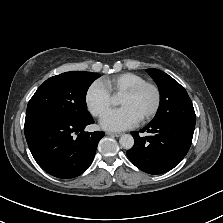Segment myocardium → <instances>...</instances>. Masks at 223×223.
<instances>
[{
  "label": "myocardium",
  "mask_w": 223,
  "mask_h": 223,
  "mask_svg": "<svg viewBox=\"0 0 223 223\" xmlns=\"http://www.w3.org/2000/svg\"><path fill=\"white\" fill-rule=\"evenodd\" d=\"M144 88H150L152 90L154 94V103L150 111L139 119L140 121L148 120L157 113L160 107V100H161L159 88L154 83L143 81L121 95L124 97H133L137 95Z\"/></svg>",
  "instance_id": "f54148a6"
}]
</instances>
